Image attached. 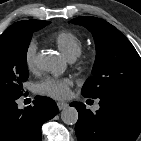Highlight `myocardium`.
<instances>
[{"label": "myocardium", "instance_id": "f54148a6", "mask_svg": "<svg viewBox=\"0 0 141 141\" xmlns=\"http://www.w3.org/2000/svg\"><path fill=\"white\" fill-rule=\"evenodd\" d=\"M92 62V55L91 54H86L80 57L79 63L82 66H88Z\"/></svg>", "mask_w": 141, "mask_h": 141}]
</instances>
